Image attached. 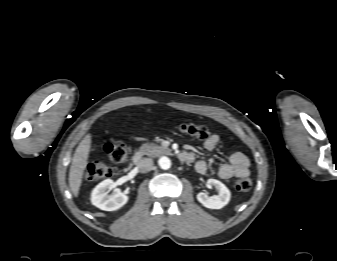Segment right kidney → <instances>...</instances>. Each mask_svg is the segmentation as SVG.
I'll return each mask as SVG.
<instances>
[{
	"label": "right kidney",
	"instance_id": "ca27d5eb",
	"mask_svg": "<svg viewBox=\"0 0 337 261\" xmlns=\"http://www.w3.org/2000/svg\"><path fill=\"white\" fill-rule=\"evenodd\" d=\"M111 194H108L109 191ZM127 193L115 188V183L111 179H106L99 183L91 193V202L97 208L105 211H114L121 208L128 201Z\"/></svg>",
	"mask_w": 337,
	"mask_h": 261
}]
</instances>
